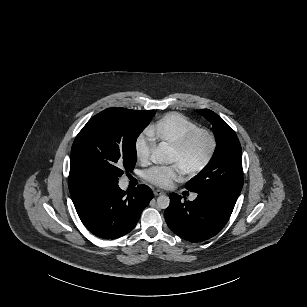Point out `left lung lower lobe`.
Listing matches in <instances>:
<instances>
[{
    "label": "left lung lower lobe",
    "instance_id": "1",
    "mask_svg": "<svg viewBox=\"0 0 307 307\" xmlns=\"http://www.w3.org/2000/svg\"><path fill=\"white\" fill-rule=\"evenodd\" d=\"M164 216L169 228L181 238L200 242L215 236L227 223L236 202L215 195L198 193L194 201L182 202L171 193Z\"/></svg>",
    "mask_w": 307,
    "mask_h": 307
}]
</instances>
